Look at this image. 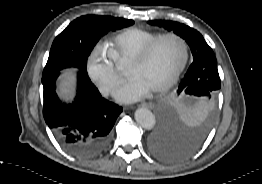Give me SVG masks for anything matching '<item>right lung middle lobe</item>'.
Masks as SVG:
<instances>
[{
	"label": "right lung middle lobe",
	"instance_id": "right-lung-middle-lobe-1",
	"mask_svg": "<svg viewBox=\"0 0 262 184\" xmlns=\"http://www.w3.org/2000/svg\"><path fill=\"white\" fill-rule=\"evenodd\" d=\"M132 24L133 20L111 16L86 15L75 19L54 40L42 76L68 67L86 72V60L99 39Z\"/></svg>",
	"mask_w": 262,
	"mask_h": 184
}]
</instances>
